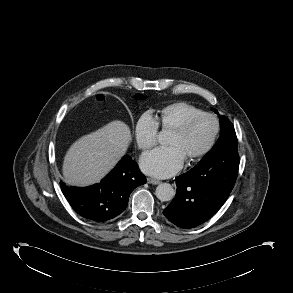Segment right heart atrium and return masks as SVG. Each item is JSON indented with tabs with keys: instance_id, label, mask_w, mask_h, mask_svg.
Here are the masks:
<instances>
[{
	"instance_id": "right-heart-atrium-1",
	"label": "right heart atrium",
	"mask_w": 293,
	"mask_h": 293,
	"mask_svg": "<svg viewBox=\"0 0 293 293\" xmlns=\"http://www.w3.org/2000/svg\"><path fill=\"white\" fill-rule=\"evenodd\" d=\"M158 124L149 113H143L134 125V137L137 146L142 151L152 148L157 141Z\"/></svg>"
}]
</instances>
